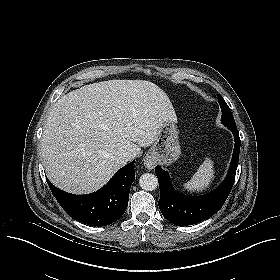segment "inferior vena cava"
<instances>
[{"label":"inferior vena cava","mask_w":280,"mask_h":280,"mask_svg":"<svg viewBox=\"0 0 280 280\" xmlns=\"http://www.w3.org/2000/svg\"><path fill=\"white\" fill-rule=\"evenodd\" d=\"M135 157H136L135 154L132 153V152H125V153L123 154V159H124L126 162L131 161V160L134 159Z\"/></svg>","instance_id":"602c4592"}]
</instances>
